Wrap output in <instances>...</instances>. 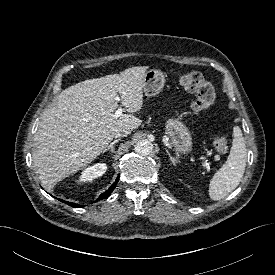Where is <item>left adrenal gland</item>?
Masks as SVG:
<instances>
[{
    "instance_id": "a2214340",
    "label": "left adrenal gland",
    "mask_w": 275,
    "mask_h": 275,
    "mask_svg": "<svg viewBox=\"0 0 275 275\" xmlns=\"http://www.w3.org/2000/svg\"><path fill=\"white\" fill-rule=\"evenodd\" d=\"M168 155H169V158H170V161L175 164V159L170 155V153L167 151Z\"/></svg>"
}]
</instances>
